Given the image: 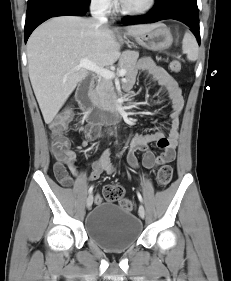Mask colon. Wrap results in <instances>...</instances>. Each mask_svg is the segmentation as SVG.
Wrapping results in <instances>:
<instances>
[{"mask_svg":"<svg viewBox=\"0 0 231 281\" xmlns=\"http://www.w3.org/2000/svg\"><path fill=\"white\" fill-rule=\"evenodd\" d=\"M170 69L174 73L181 70V63L178 60H173L170 63ZM72 112L67 110L58 115L50 124L51 134V153L56 162H65L70 151L69 140L65 136V131L71 120ZM173 175V169L169 165L162 166L157 172L156 181L159 186H166L170 183ZM104 199L108 202H120V205L127 211H132L135 208L134 203L129 199H123V189L117 185H109L103 191ZM101 197L96 198V202H100Z\"/></svg>","mask_w":231,"mask_h":281,"instance_id":"1","label":"colon"}]
</instances>
